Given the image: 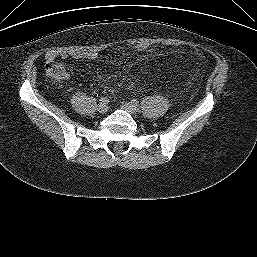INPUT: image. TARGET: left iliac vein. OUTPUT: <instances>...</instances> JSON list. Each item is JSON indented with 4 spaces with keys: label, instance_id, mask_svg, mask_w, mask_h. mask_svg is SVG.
Wrapping results in <instances>:
<instances>
[{
    "label": "left iliac vein",
    "instance_id": "obj_1",
    "mask_svg": "<svg viewBox=\"0 0 257 257\" xmlns=\"http://www.w3.org/2000/svg\"><path fill=\"white\" fill-rule=\"evenodd\" d=\"M122 107H123V109H125L127 112H129L132 115H135L138 112L137 107L130 102H124L122 104Z\"/></svg>",
    "mask_w": 257,
    "mask_h": 257
}]
</instances>
